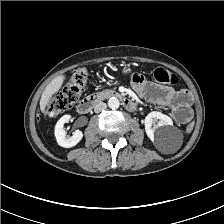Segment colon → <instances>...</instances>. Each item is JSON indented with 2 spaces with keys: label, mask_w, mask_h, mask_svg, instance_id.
I'll list each match as a JSON object with an SVG mask.
<instances>
[{
  "label": "colon",
  "mask_w": 224,
  "mask_h": 224,
  "mask_svg": "<svg viewBox=\"0 0 224 224\" xmlns=\"http://www.w3.org/2000/svg\"><path fill=\"white\" fill-rule=\"evenodd\" d=\"M153 76L160 83L174 85L178 82V77L163 67H157ZM89 81V74L84 68L75 70L68 82L56 92L46 103L44 112L49 117H55L68 109L78 101L86 84ZM187 117V114L183 115ZM193 130V124L189 123L186 127L187 132Z\"/></svg>",
  "instance_id": "colon-1"
}]
</instances>
